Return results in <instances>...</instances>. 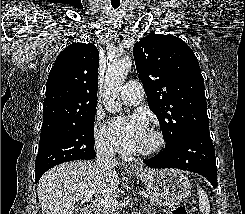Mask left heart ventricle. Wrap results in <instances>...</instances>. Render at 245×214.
<instances>
[{"instance_id":"left-heart-ventricle-1","label":"left heart ventricle","mask_w":245,"mask_h":214,"mask_svg":"<svg viewBox=\"0 0 245 214\" xmlns=\"http://www.w3.org/2000/svg\"><path fill=\"white\" fill-rule=\"evenodd\" d=\"M153 144H154V138L151 135V133L148 132L147 135L145 136L144 140L142 141L141 145L139 146V148L136 151L140 152V151L146 150V149L150 148Z\"/></svg>"}]
</instances>
